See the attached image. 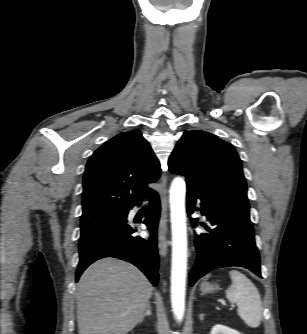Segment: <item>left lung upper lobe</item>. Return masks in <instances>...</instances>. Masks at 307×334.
Listing matches in <instances>:
<instances>
[{"label":"left lung upper lobe","mask_w":307,"mask_h":334,"mask_svg":"<svg viewBox=\"0 0 307 334\" xmlns=\"http://www.w3.org/2000/svg\"><path fill=\"white\" fill-rule=\"evenodd\" d=\"M169 170L187 187L249 206L241 160L234 147L201 130L186 131L169 158Z\"/></svg>","instance_id":"left-lung-upper-lobe-1"}]
</instances>
